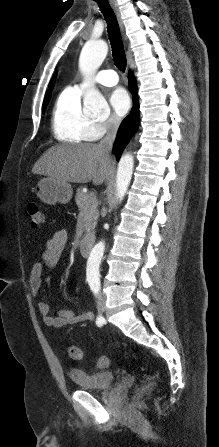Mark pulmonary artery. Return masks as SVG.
<instances>
[{"instance_id":"pulmonary-artery-1","label":"pulmonary artery","mask_w":219,"mask_h":447,"mask_svg":"<svg viewBox=\"0 0 219 447\" xmlns=\"http://www.w3.org/2000/svg\"><path fill=\"white\" fill-rule=\"evenodd\" d=\"M118 75L114 70H104L99 72L95 77L85 80L79 84H75L72 88L82 93L87 87L92 84H101L104 86H114L118 83Z\"/></svg>"}]
</instances>
